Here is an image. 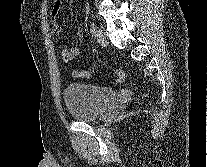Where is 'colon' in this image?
Masks as SVG:
<instances>
[{"label":"colon","mask_w":207,"mask_h":167,"mask_svg":"<svg viewBox=\"0 0 207 167\" xmlns=\"http://www.w3.org/2000/svg\"><path fill=\"white\" fill-rule=\"evenodd\" d=\"M76 77L88 78L90 73L88 71H77L74 73ZM124 80V73L121 70H114L113 81L115 83H121Z\"/></svg>","instance_id":"colon-1"}]
</instances>
